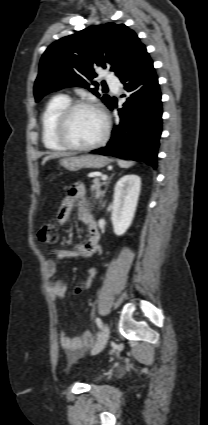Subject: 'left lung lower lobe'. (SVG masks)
<instances>
[{
  "instance_id": "0a47b994",
  "label": "left lung lower lobe",
  "mask_w": 208,
  "mask_h": 425,
  "mask_svg": "<svg viewBox=\"0 0 208 425\" xmlns=\"http://www.w3.org/2000/svg\"><path fill=\"white\" fill-rule=\"evenodd\" d=\"M128 97L118 109L120 122L106 147L92 153L147 162L157 167V151L162 131V103L153 62L146 52L138 65L120 79ZM111 101L108 108L113 110Z\"/></svg>"
}]
</instances>
